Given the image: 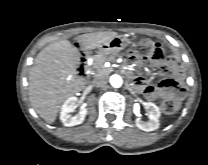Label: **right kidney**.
I'll return each instance as SVG.
<instances>
[{
	"instance_id": "right-kidney-1",
	"label": "right kidney",
	"mask_w": 208,
	"mask_h": 165,
	"mask_svg": "<svg viewBox=\"0 0 208 165\" xmlns=\"http://www.w3.org/2000/svg\"><path fill=\"white\" fill-rule=\"evenodd\" d=\"M77 98L70 97L68 98L65 103L61 107L60 112V120L63 122L65 126H75L83 123L86 115L87 109L82 106L80 111L77 115L73 116L71 113L74 112L76 108Z\"/></svg>"
}]
</instances>
